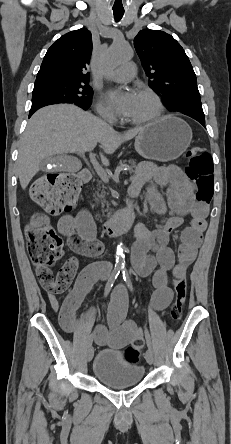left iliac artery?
I'll list each match as a JSON object with an SVG mask.
<instances>
[{
	"label": "left iliac artery",
	"instance_id": "left-iliac-artery-1",
	"mask_svg": "<svg viewBox=\"0 0 231 444\" xmlns=\"http://www.w3.org/2000/svg\"><path fill=\"white\" fill-rule=\"evenodd\" d=\"M122 269H123V270H122V273H123V279H124V281L127 283L128 288H129L131 291H133V285H132V282H131V280H130V278H129V275H128V273H127V271L125 270L124 267H122ZM145 337H146V341H147V345H148V347H149L150 349H152L151 338H150V335H149V333H148L147 330H145Z\"/></svg>",
	"mask_w": 231,
	"mask_h": 444
}]
</instances>
